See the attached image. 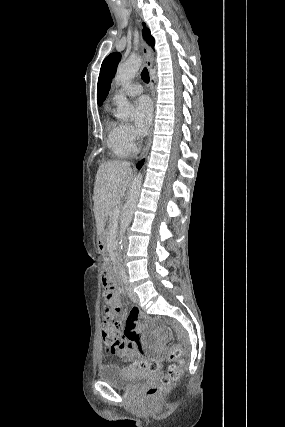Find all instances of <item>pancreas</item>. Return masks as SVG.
I'll use <instances>...</instances> for the list:
<instances>
[{"label":"pancreas","mask_w":285,"mask_h":427,"mask_svg":"<svg viewBox=\"0 0 285 427\" xmlns=\"http://www.w3.org/2000/svg\"><path fill=\"white\" fill-rule=\"evenodd\" d=\"M115 229H116L115 220L113 218V214L111 213V215H110V226L108 229L110 236L113 235V232L115 231Z\"/></svg>","instance_id":"cf45deb5"}]
</instances>
